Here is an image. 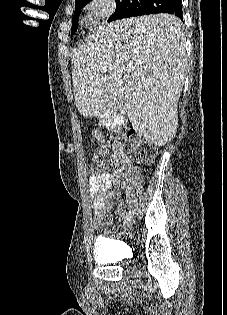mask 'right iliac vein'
<instances>
[{"label":"right iliac vein","mask_w":227,"mask_h":315,"mask_svg":"<svg viewBox=\"0 0 227 315\" xmlns=\"http://www.w3.org/2000/svg\"><path fill=\"white\" fill-rule=\"evenodd\" d=\"M134 223V218L133 217H129L124 221L123 226L124 227H130L132 226V224Z\"/></svg>","instance_id":"obj_1"}]
</instances>
